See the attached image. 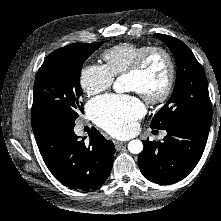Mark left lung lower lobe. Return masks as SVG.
Here are the masks:
<instances>
[{
    "label": "left lung lower lobe",
    "mask_w": 221,
    "mask_h": 221,
    "mask_svg": "<svg viewBox=\"0 0 221 221\" xmlns=\"http://www.w3.org/2000/svg\"><path fill=\"white\" fill-rule=\"evenodd\" d=\"M210 125L185 121L167 127L163 141L143 142L138 159L145 178L158 184L184 179L197 165L204 151Z\"/></svg>",
    "instance_id": "1"
}]
</instances>
